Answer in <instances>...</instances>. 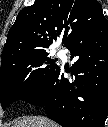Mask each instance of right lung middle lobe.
Instances as JSON below:
<instances>
[{
    "label": "right lung middle lobe",
    "mask_w": 108,
    "mask_h": 127,
    "mask_svg": "<svg viewBox=\"0 0 108 127\" xmlns=\"http://www.w3.org/2000/svg\"><path fill=\"white\" fill-rule=\"evenodd\" d=\"M47 53L19 57L1 65L0 102L2 108L39 90L55 73L58 65Z\"/></svg>",
    "instance_id": "obj_1"
}]
</instances>
